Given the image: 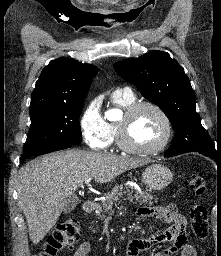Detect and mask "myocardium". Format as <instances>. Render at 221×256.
Returning <instances> with one entry per match:
<instances>
[{"mask_svg":"<svg viewBox=\"0 0 221 256\" xmlns=\"http://www.w3.org/2000/svg\"><path fill=\"white\" fill-rule=\"evenodd\" d=\"M144 108L154 110L160 116L164 124L163 137L156 145L149 148L138 147L132 144L127 135L131 119ZM172 131L171 119L160 105L152 101H140L131 104L125 109L122 121L117 124V141L119 147L125 152L142 156H151L158 154L165 149L172 137Z\"/></svg>","mask_w":221,"mask_h":256,"instance_id":"myocardium-1","label":"myocardium"}]
</instances>
